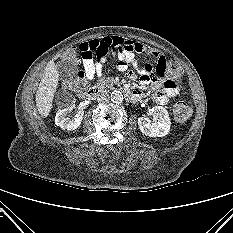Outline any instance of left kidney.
I'll use <instances>...</instances> for the list:
<instances>
[{"instance_id":"5707ae66","label":"left kidney","mask_w":233,"mask_h":233,"mask_svg":"<svg viewBox=\"0 0 233 233\" xmlns=\"http://www.w3.org/2000/svg\"><path fill=\"white\" fill-rule=\"evenodd\" d=\"M151 114L154 117V122L148 118H138L139 129L142 134L149 137H163L170 131V118L167 110L162 106H155L151 109Z\"/></svg>"}]
</instances>
